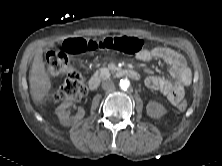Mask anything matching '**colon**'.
<instances>
[{
    "mask_svg": "<svg viewBox=\"0 0 222 166\" xmlns=\"http://www.w3.org/2000/svg\"><path fill=\"white\" fill-rule=\"evenodd\" d=\"M143 41L136 37H107L99 41H86L80 38L66 40L62 50L50 52L46 57L47 73L51 77L64 76V82L53 94L55 102L75 100L85 93L84 79L81 72L71 62L70 56L87 51L112 50L124 54H133L141 51ZM187 107V101L182 98L177 108L181 111Z\"/></svg>",
    "mask_w": 222,
    "mask_h": 166,
    "instance_id": "obj_1",
    "label": "colon"
}]
</instances>
